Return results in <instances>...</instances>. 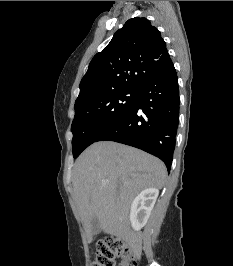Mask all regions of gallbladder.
Wrapping results in <instances>:
<instances>
[{"label": "gallbladder", "mask_w": 233, "mask_h": 266, "mask_svg": "<svg viewBox=\"0 0 233 266\" xmlns=\"http://www.w3.org/2000/svg\"><path fill=\"white\" fill-rule=\"evenodd\" d=\"M92 228H93V232L94 234H98L100 233V227H99V222L97 218H93L92 220Z\"/></svg>", "instance_id": "1"}]
</instances>
